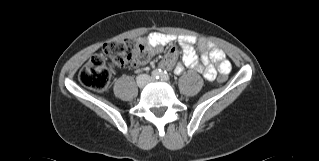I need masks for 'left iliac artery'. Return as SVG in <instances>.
Wrapping results in <instances>:
<instances>
[{"label": "left iliac artery", "mask_w": 319, "mask_h": 161, "mask_svg": "<svg viewBox=\"0 0 319 161\" xmlns=\"http://www.w3.org/2000/svg\"><path fill=\"white\" fill-rule=\"evenodd\" d=\"M161 80L163 81H169L170 77L168 75V73L166 71H162L161 72V76H160Z\"/></svg>", "instance_id": "1"}]
</instances>
